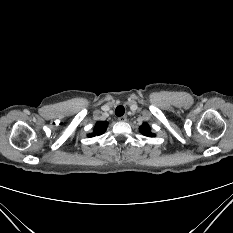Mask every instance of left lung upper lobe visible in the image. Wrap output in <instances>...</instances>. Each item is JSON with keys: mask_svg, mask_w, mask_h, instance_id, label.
Wrapping results in <instances>:
<instances>
[{"mask_svg": "<svg viewBox=\"0 0 233 233\" xmlns=\"http://www.w3.org/2000/svg\"><path fill=\"white\" fill-rule=\"evenodd\" d=\"M140 132L141 134L145 135V136H149V137H154L155 134L151 133V128L147 123H143L140 126Z\"/></svg>", "mask_w": 233, "mask_h": 233, "instance_id": "obj_1", "label": "left lung upper lobe"}]
</instances>
